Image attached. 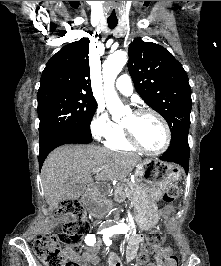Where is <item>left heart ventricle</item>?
<instances>
[{"label": "left heart ventricle", "mask_w": 221, "mask_h": 266, "mask_svg": "<svg viewBox=\"0 0 221 266\" xmlns=\"http://www.w3.org/2000/svg\"><path fill=\"white\" fill-rule=\"evenodd\" d=\"M122 125L132 129L139 142L147 149H158L164 142L165 132L163 126L151 114L136 116L130 113Z\"/></svg>", "instance_id": "obj_1"}]
</instances>
